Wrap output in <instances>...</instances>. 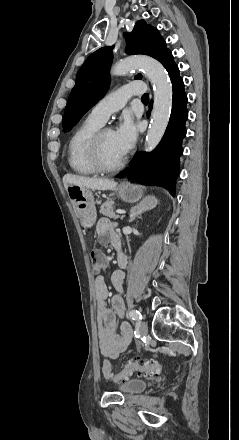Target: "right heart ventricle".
I'll list each match as a JSON object with an SVG mask.
<instances>
[{"mask_svg":"<svg viewBox=\"0 0 239 440\" xmlns=\"http://www.w3.org/2000/svg\"><path fill=\"white\" fill-rule=\"evenodd\" d=\"M101 124L89 117L70 136L67 148L69 167L82 175H94L98 171L91 165L87 156V144L91 136L100 128Z\"/></svg>","mask_w":239,"mask_h":440,"instance_id":"e07e8e85","label":"right heart ventricle"}]
</instances>
